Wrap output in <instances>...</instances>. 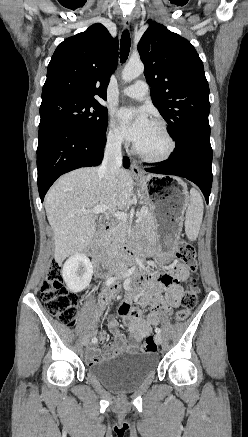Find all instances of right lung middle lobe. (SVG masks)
Wrapping results in <instances>:
<instances>
[{"instance_id": "dd1d6c3e", "label": "right lung middle lobe", "mask_w": 248, "mask_h": 437, "mask_svg": "<svg viewBox=\"0 0 248 437\" xmlns=\"http://www.w3.org/2000/svg\"><path fill=\"white\" fill-rule=\"evenodd\" d=\"M39 128L63 124L87 134L106 133L108 111L99 103L69 96L53 95L42 98Z\"/></svg>"}]
</instances>
